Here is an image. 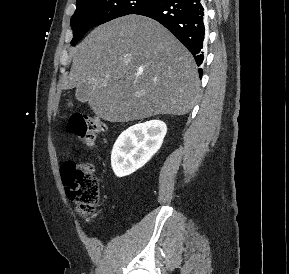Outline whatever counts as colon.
I'll return each instance as SVG.
<instances>
[{
  "label": "colon",
  "instance_id": "1",
  "mask_svg": "<svg viewBox=\"0 0 289 274\" xmlns=\"http://www.w3.org/2000/svg\"><path fill=\"white\" fill-rule=\"evenodd\" d=\"M70 129L83 144L91 146L105 131L106 126L98 117L78 114L72 117ZM61 176L69 199L76 204L82 216L90 218L100 199L99 182L94 166L89 162L67 161L61 167Z\"/></svg>",
  "mask_w": 289,
  "mask_h": 274
}]
</instances>
